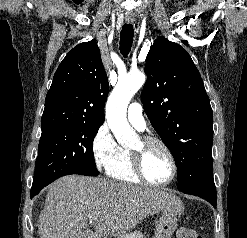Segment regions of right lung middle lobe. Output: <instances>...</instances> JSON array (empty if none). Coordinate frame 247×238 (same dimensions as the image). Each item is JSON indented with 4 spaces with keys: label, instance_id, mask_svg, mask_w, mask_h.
Wrapping results in <instances>:
<instances>
[{
    "label": "right lung middle lobe",
    "instance_id": "1",
    "mask_svg": "<svg viewBox=\"0 0 247 238\" xmlns=\"http://www.w3.org/2000/svg\"><path fill=\"white\" fill-rule=\"evenodd\" d=\"M101 124L86 122L42 129L31 192L41 191L64 175L97 176L93 140Z\"/></svg>",
    "mask_w": 247,
    "mask_h": 238
}]
</instances>
